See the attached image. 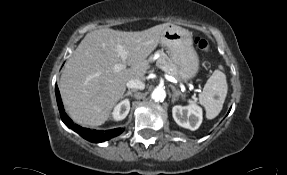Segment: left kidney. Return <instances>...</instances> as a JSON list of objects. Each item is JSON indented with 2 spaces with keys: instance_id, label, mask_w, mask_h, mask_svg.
Wrapping results in <instances>:
<instances>
[{
  "instance_id": "left-kidney-1",
  "label": "left kidney",
  "mask_w": 287,
  "mask_h": 175,
  "mask_svg": "<svg viewBox=\"0 0 287 175\" xmlns=\"http://www.w3.org/2000/svg\"><path fill=\"white\" fill-rule=\"evenodd\" d=\"M175 122L184 128L196 130L202 123V109L196 104L188 106L176 105L172 108Z\"/></svg>"
}]
</instances>
